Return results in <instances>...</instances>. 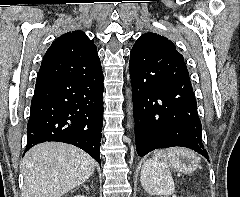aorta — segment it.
I'll list each match as a JSON object with an SVG mask.
<instances>
[{"label": "aorta", "mask_w": 240, "mask_h": 197, "mask_svg": "<svg viewBox=\"0 0 240 197\" xmlns=\"http://www.w3.org/2000/svg\"><path fill=\"white\" fill-rule=\"evenodd\" d=\"M129 97H130V95H129ZM132 108H133V106H132L131 100H129V107H128V114L129 115H132V111H130V110H132ZM128 127L130 128L129 123H128Z\"/></svg>", "instance_id": "aorta-1"}]
</instances>
